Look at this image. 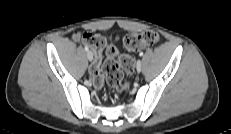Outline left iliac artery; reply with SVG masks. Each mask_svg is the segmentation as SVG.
Listing matches in <instances>:
<instances>
[{"label":"left iliac artery","mask_w":231,"mask_h":134,"mask_svg":"<svg viewBox=\"0 0 231 134\" xmlns=\"http://www.w3.org/2000/svg\"><path fill=\"white\" fill-rule=\"evenodd\" d=\"M139 56H143V52H140V53H139Z\"/></svg>","instance_id":"left-iliac-artery-1"}]
</instances>
